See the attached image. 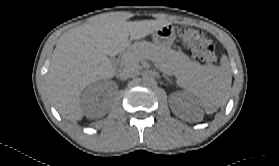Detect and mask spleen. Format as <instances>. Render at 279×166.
I'll return each mask as SVG.
<instances>
[{"instance_id":"obj_1","label":"spleen","mask_w":279,"mask_h":166,"mask_svg":"<svg viewBox=\"0 0 279 166\" xmlns=\"http://www.w3.org/2000/svg\"><path fill=\"white\" fill-rule=\"evenodd\" d=\"M231 83L232 75L226 57H222L219 67L199 66L177 80L178 86L199 100L206 113H213L226 103Z\"/></svg>"}]
</instances>
